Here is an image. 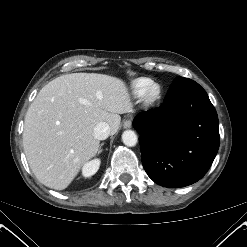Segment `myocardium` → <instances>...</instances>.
I'll use <instances>...</instances> for the list:
<instances>
[{"label": "myocardium", "mask_w": 247, "mask_h": 247, "mask_svg": "<svg viewBox=\"0 0 247 247\" xmlns=\"http://www.w3.org/2000/svg\"><path fill=\"white\" fill-rule=\"evenodd\" d=\"M161 96V87L157 83L150 84L142 94V101L146 106L154 104Z\"/></svg>", "instance_id": "f54148a6"}]
</instances>
